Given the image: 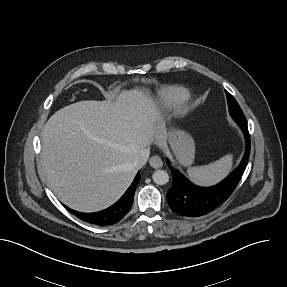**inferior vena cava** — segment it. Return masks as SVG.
<instances>
[{
  "label": "inferior vena cava",
  "mask_w": 287,
  "mask_h": 287,
  "mask_svg": "<svg viewBox=\"0 0 287 287\" xmlns=\"http://www.w3.org/2000/svg\"><path fill=\"white\" fill-rule=\"evenodd\" d=\"M149 154V148L142 150L131 163V167L136 170L141 169L146 164Z\"/></svg>",
  "instance_id": "inferior-vena-cava-1"
}]
</instances>
